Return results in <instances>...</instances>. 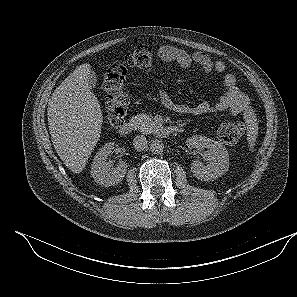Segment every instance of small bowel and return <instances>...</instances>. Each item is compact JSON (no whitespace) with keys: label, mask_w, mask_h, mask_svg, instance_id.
I'll use <instances>...</instances> for the list:
<instances>
[{"label":"small bowel","mask_w":297,"mask_h":297,"mask_svg":"<svg viewBox=\"0 0 297 297\" xmlns=\"http://www.w3.org/2000/svg\"><path fill=\"white\" fill-rule=\"evenodd\" d=\"M157 55L160 60L174 62L182 68H189L192 65H196L205 72L214 71L224 73L226 70L224 62L214 61L208 55L201 52L190 54L172 46H160L157 49ZM224 86L225 92L223 96L215 103L202 101L193 106L179 104L174 102L164 90L159 92V99L165 108L178 114L205 115L223 111H228L234 115L245 113L249 107V100L247 95L237 87L236 79L232 74H225Z\"/></svg>","instance_id":"obj_1"}]
</instances>
